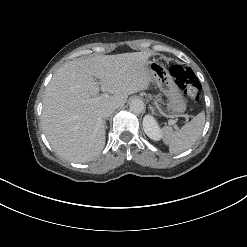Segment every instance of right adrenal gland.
<instances>
[{
  "instance_id": "2a0ac1e0",
  "label": "right adrenal gland",
  "mask_w": 247,
  "mask_h": 247,
  "mask_svg": "<svg viewBox=\"0 0 247 247\" xmlns=\"http://www.w3.org/2000/svg\"><path fill=\"white\" fill-rule=\"evenodd\" d=\"M104 125H105V128L107 129V125H106V119L104 120Z\"/></svg>"
}]
</instances>
